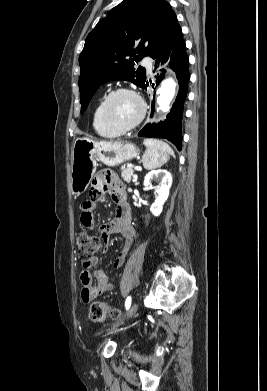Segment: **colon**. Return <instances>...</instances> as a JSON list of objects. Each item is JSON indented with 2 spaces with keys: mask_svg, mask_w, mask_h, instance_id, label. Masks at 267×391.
Wrapping results in <instances>:
<instances>
[{
  "mask_svg": "<svg viewBox=\"0 0 267 391\" xmlns=\"http://www.w3.org/2000/svg\"><path fill=\"white\" fill-rule=\"evenodd\" d=\"M78 257L83 265H88L95 254L102 247V238L87 232H81L76 239ZM110 316L113 319L120 317V311L104 302H93L89 308L87 319L91 322H103Z\"/></svg>",
  "mask_w": 267,
  "mask_h": 391,
  "instance_id": "5ec220e1",
  "label": "colon"
}]
</instances>
